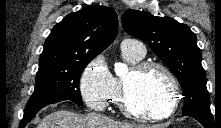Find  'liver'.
<instances>
[{"label":"liver","instance_id":"obj_1","mask_svg":"<svg viewBox=\"0 0 221 128\" xmlns=\"http://www.w3.org/2000/svg\"><path fill=\"white\" fill-rule=\"evenodd\" d=\"M164 125L121 123L104 115L91 112L85 115L59 110L46 115L37 128H167Z\"/></svg>","mask_w":221,"mask_h":128}]
</instances>
